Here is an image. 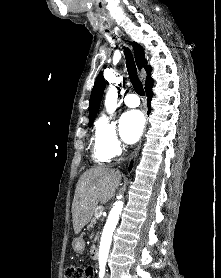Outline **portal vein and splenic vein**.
<instances>
[{
    "instance_id": "1",
    "label": "portal vein and splenic vein",
    "mask_w": 221,
    "mask_h": 278,
    "mask_svg": "<svg viewBox=\"0 0 221 278\" xmlns=\"http://www.w3.org/2000/svg\"><path fill=\"white\" fill-rule=\"evenodd\" d=\"M102 213H103V206H100V207L98 208V216H101Z\"/></svg>"
}]
</instances>
